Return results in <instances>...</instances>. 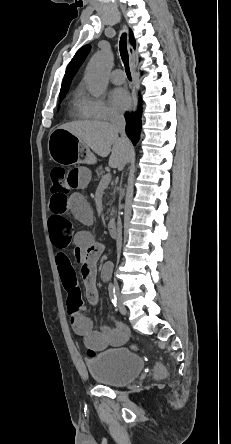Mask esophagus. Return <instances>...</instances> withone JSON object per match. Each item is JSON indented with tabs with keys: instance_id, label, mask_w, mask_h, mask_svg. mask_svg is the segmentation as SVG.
<instances>
[{
	"instance_id": "34e87169",
	"label": "esophagus",
	"mask_w": 231,
	"mask_h": 444,
	"mask_svg": "<svg viewBox=\"0 0 231 444\" xmlns=\"http://www.w3.org/2000/svg\"><path fill=\"white\" fill-rule=\"evenodd\" d=\"M128 53H129L130 63H131V65H133V63H134V51H133V48L131 47V45H128ZM132 98H133V110H136V108H137V95H136L135 91H133V93H132Z\"/></svg>"
}]
</instances>
